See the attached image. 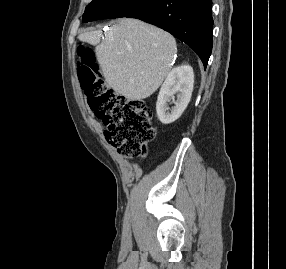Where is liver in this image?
<instances>
[{
  "label": "liver",
  "mask_w": 286,
  "mask_h": 269,
  "mask_svg": "<svg viewBox=\"0 0 286 269\" xmlns=\"http://www.w3.org/2000/svg\"><path fill=\"white\" fill-rule=\"evenodd\" d=\"M100 30L78 38L95 46V55L107 84L120 95L140 101L150 97L171 70L176 41L169 33L137 19L115 23L100 43Z\"/></svg>",
  "instance_id": "obj_1"
}]
</instances>
